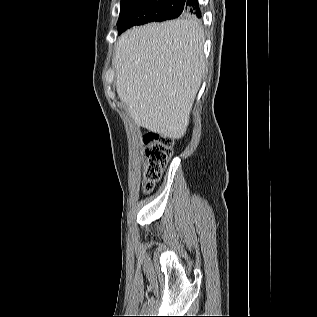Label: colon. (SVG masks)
I'll list each match as a JSON object with an SVG mask.
<instances>
[{
    "instance_id": "obj_1",
    "label": "colon",
    "mask_w": 317,
    "mask_h": 317,
    "mask_svg": "<svg viewBox=\"0 0 317 317\" xmlns=\"http://www.w3.org/2000/svg\"><path fill=\"white\" fill-rule=\"evenodd\" d=\"M146 144L144 163L143 191L149 193L157 182L172 156L173 141L171 138L155 132L144 136Z\"/></svg>"
}]
</instances>
